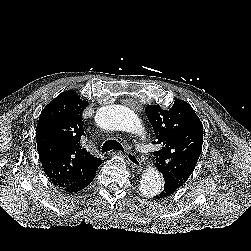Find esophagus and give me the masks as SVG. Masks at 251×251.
I'll use <instances>...</instances> for the list:
<instances>
[{"label":"esophagus","mask_w":251,"mask_h":251,"mask_svg":"<svg viewBox=\"0 0 251 251\" xmlns=\"http://www.w3.org/2000/svg\"><path fill=\"white\" fill-rule=\"evenodd\" d=\"M126 157L128 159L129 164L133 168H135V169H139L140 168V166H141V160H140V158L136 154L131 153V152H127Z\"/></svg>","instance_id":"obj_1"}]
</instances>
